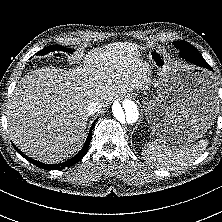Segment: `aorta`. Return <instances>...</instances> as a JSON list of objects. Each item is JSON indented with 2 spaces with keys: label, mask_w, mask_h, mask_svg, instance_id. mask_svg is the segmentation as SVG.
<instances>
[{
  "label": "aorta",
  "mask_w": 222,
  "mask_h": 222,
  "mask_svg": "<svg viewBox=\"0 0 222 222\" xmlns=\"http://www.w3.org/2000/svg\"><path fill=\"white\" fill-rule=\"evenodd\" d=\"M112 115L120 125H131L139 119L138 104L133 99H124L122 103L115 102L112 105Z\"/></svg>",
  "instance_id": "aorta-1"
}]
</instances>
